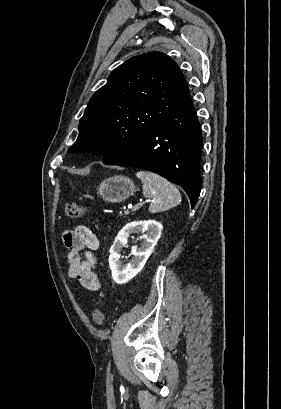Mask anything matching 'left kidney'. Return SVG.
I'll return each instance as SVG.
<instances>
[{
    "mask_svg": "<svg viewBox=\"0 0 281 409\" xmlns=\"http://www.w3.org/2000/svg\"><path fill=\"white\" fill-rule=\"evenodd\" d=\"M162 229L161 223H157V221H133V223H127V225L119 231L110 249L108 259L115 283L123 285V283H128L130 279H133V277H136V275L140 273L147 259H149L151 253H153V249L162 235ZM132 233H139V235L142 233L139 239H144V241L140 249H137L136 245L132 247L131 253L134 255V259H131L127 265H122L120 253L122 247H126Z\"/></svg>",
    "mask_w": 281,
    "mask_h": 409,
    "instance_id": "left-kidney-1",
    "label": "left kidney"
}]
</instances>
